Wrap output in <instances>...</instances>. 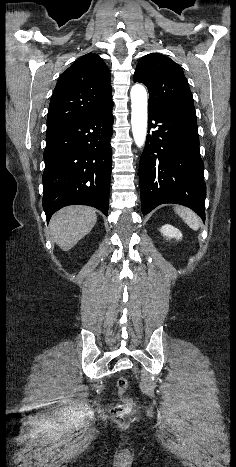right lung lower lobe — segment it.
<instances>
[{
    "instance_id": "1",
    "label": "right lung lower lobe",
    "mask_w": 236,
    "mask_h": 467,
    "mask_svg": "<svg viewBox=\"0 0 236 467\" xmlns=\"http://www.w3.org/2000/svg\"><path fill=\"white\" fill-rule=\"evenodd\" d=\"M113 102L94 113L47 130L42 176L47 221L60 208L93 206L108 216Z\"/></svg>"
}]
</instances>
